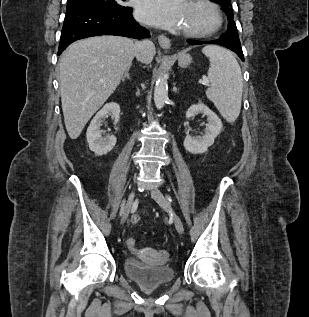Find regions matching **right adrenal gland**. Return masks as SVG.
Segmentation results:
<instances>
[{"label": "right adrenal gland", "instance_id": "obj_1", "mask_svg": "<svg viewBox=\"0 0 309 317\" xmlns=\"http://www.w3.org/2000/svg\"><path fill=\"white\" fill-rule=\"evenodd\" d=\"M129 70H130V68H128V69L124 72V75H123V77H122V81H124L126 78H127V79H130Z\"/></svg>", "mask_w": 309, "mask_h": 317}]
</instances>
